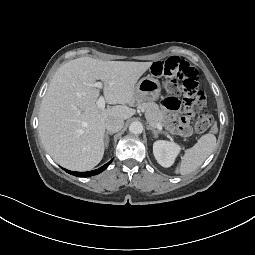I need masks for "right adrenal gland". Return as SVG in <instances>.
I'll return each mask as SVG.
<instances>
[{
	"label": "right adrenal gland",
	"mask_w": 255,
	"mask_h": 255,
	"mask_svg": "<svg viewBox=\"0 0 255 255\" xmlns=\"http://www.w3.org/2000/svg\"><path fill=\"white\" fill-rule=\"evenodd\" d=\"M112 133H110V132H107L106 134H105V146L106 147H108V145H109V135H111Z\"/></svg>",
	"instance_id": "obj_1"
}]
</instances>
